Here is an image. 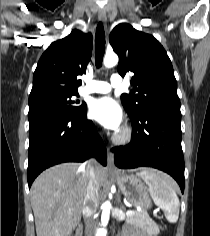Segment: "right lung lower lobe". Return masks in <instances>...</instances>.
Instances as JSON below:
<instances>
[{
    "label": "right lung lower lobe",
    "instance_id": "obj_1",
    "mask_svg": "<svg viewBox=\"0 0 210 236\" xmlns=\"http://www.w3.org/2000/svg\"><path fill=\"white\" fill-rule=\"evenodd\" d=\"M82 115L50 113L29 120V188L44 169L94 156L107 164V151L92 121Z\"/></svg>",
    "mask_w": 210,
    "mask_h": 236
}]
</instances>
